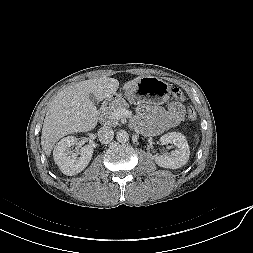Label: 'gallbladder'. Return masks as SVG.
<instances>
[{"label":"gallbladder","instance_id":"obj_1","mask_svg":"<svg viewBox=\"0 0 253 253\" xmlns=\"http://www.w3.org/2000/svg\"><path fill=\"white\" fill-rule=\"evenodd\" d=\"M88 97L92 103L94 104L98 103V99L96 98L94 94H89Z\"/></svg>","mask_w":253,"mask_h":253}]
</instances>
